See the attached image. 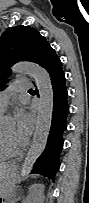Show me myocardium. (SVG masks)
<instances>
[{
    "mask_svg": "<svg viewBox=\"0 0 89 203\" xmlns=\"http://www.w3.org/2000/svg\"><path fill=\"white\" fill-rule=\"evenodd\" d=\"M0 139H1L2 150L8 157L20 156L26 148L25 144L21 148H12L4 138L3 131L0 132Z\"/></svg>",
    "mask_w": 89,
    "mask_h": 203,
    "instance_id": "obj_1",
    "label": "myocardium"
}]
</instances>
